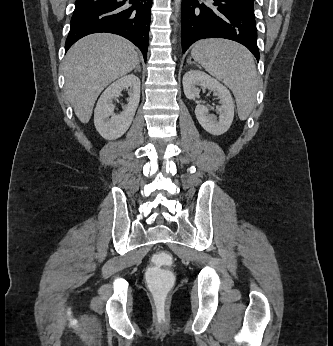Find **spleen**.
<instances>
[{"mask_svg":"<svg viewBox=\"0 0 333 346\" xmlns=\"http://www.w3.org/2000/svg\"><path fill=\"white\" fill-rule=\"evenodd\" d=\"M193 59L228 86L236 99L238 116L246 120L258 89V77L252 54L242 45L225 39L198 41L191 51Z\"/></svg>","mask_w":333,"mask_h":346,"instance_id":"1","label":"spleen"}]
</instances>
